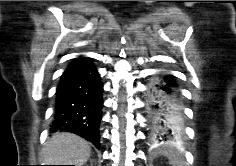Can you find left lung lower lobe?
Returning <instances> with one entry per match:
<instances>
[{
  "label": "left lung lower lobe",
  "instance_id": "0a47b994",
  "mask_svg": "<svg viewBox=\"0 0 236 166\" xmlns=\"http://www.w3.org/2000/svg\"><path fill=\"white\" fill-rule=\"evenodd\" d=\"M181 96L173 75L156 77L150 88L149 126L154 145L176 141L182 132Z\"/></svg>",
  "mask_w": 236,
  "mask_h": 166
}]
</instances>
